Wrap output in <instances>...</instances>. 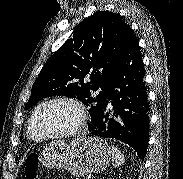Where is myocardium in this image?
I'll return each instance as SVG.
<instances>
[{"label": "myocardium", "mask_w": 183, "mask_h": 179, "mask_svg": "<svg viewBox=\"0 0 183 179\" xmlns=\"http://www.w3.org/2000/svg\"><path fill=\"white\" fill-rule=\"evenodd\" d=\"M59 102L69 103V104L73 105L78 111L79 119H78L77 124L72 129H70L66 132H62V133L50 134L43 130L42 117L49 106H51L54 103H59ZM86 122H87V112H86V108L83 105V103L80 100L73 98V97L60 96V97L52 98V99L46 101L42 105V107L39 110L38 115H37L36 127H37L38 132L42 135L43 138L61 139V138L72 137V136L76 135L77 133H79L84 128Z\"/></svg>", "instance_id": "f54148a6"}]
</instances>
